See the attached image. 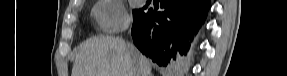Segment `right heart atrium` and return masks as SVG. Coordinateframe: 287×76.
I'll return each mask as SVG.
<instances>
[{
  "instance_id": "d8ad5b80",
  "label": "right heart atrium",
  "mask_w": 287,
  "mask_h": 76,
  "mask_svg": "<svg viewBox=\"0 0 287 76\" xmlns=\"http://www.w3.org/2000/svg\"><path fill=\"white\" fill-rule=\"evenodd\" d=\"M94 15L102 31L114 33L128 25L129 18L124 6L117 0H101L94 8Z\"/></svg>"
}]
</instances>
